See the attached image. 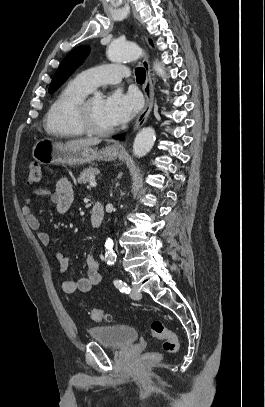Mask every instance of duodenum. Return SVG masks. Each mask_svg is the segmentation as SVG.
<instances>
[{"mask_svg": "<svg viewBox=\"0 0 265 407\" xmlns=\"http://www.w3.org/2000/svg\"><path fill=\"white\" fill-rule=\"evenodd\" d=\"M105 218V209L102 203L96 202L90 210L91 224L98 227Z\"/></svg>", "mask_w": 265, "mask_h": 407, "instance_id": "410a0bca", "label": "duodenum"}]
</instances>
